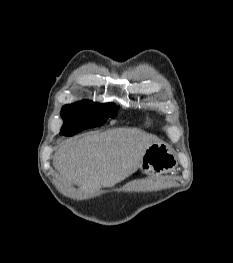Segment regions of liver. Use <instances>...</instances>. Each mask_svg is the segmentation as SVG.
<instances>
[{
  "instance_id": "1",
  "label": "liver",
  "mask_w": 233,
  "mask_h": 263,
  "mask_svg": "<svg viewBox=\"0 0 233 263\" xmlns=\"http://www.w3.org/2000/svg\"><path fill=\"white\" fill-rule=\"evenodd\" d=\"M156 142L155 136L134 128L91 132L62 144L53 166L64 183L78 185L90 197L136 172L145 150Z\"/></svg>"
}]
</instances>
